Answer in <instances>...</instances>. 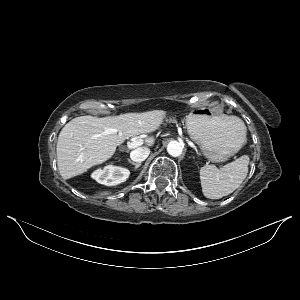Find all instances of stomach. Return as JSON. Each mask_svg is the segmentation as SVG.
Masks as SVG:
<instances>
[{
    "mask_svg": "<svg viewBox=\"0 0 300 300\" xmlns=\"http://www.w3.org/2000/svg\"><path fill=\"white\" fill-rule=\"evenodd\" d=\"M186 126L204 155L213 162L226 161L245 141L243 132L235 127L232 119L216 115L208 108L192 111L186 118Z\"/></svg>",
    "mask_w": 300,
    "mask_h": 300,
    "instance_id": "1",
    "label": "stomach"
}]
</instances>
